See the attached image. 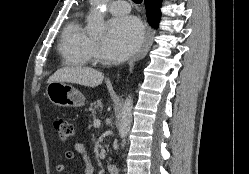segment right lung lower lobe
I'll use <instances>...</instances> for the list:
<instances>
[{
  "mask_svg": "<svg viewBox=\"0 0 249 174\" xmlns=\"http://www.w3.org/2000/svg\"><path fill=\"white\" fill-rule=\"evenodd\" d=\"M147 17L151 26L157 27L160 20L161 0H145Z\"/></svg>",
  "mask_w": 249,
  "mask_h": 174,
  "instance_id": "98d812e1",
  "label": "right lung lower lobe"
}]
</instances>
